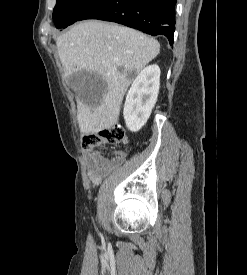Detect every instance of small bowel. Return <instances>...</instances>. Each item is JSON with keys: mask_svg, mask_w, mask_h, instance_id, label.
Masks as SVG:
<instances>
[{"mask_svg": "<svg viewBox=\"0 0 247 275\" xmlns=\"http://www.w3.org/2000/svg\"><path fill=\"white\" fill-rule=\"evenodd\" d=\"M84 159L90 182L93 186H97L113 170L124 163L126 154L123 151H117L108 158L99 151H91L85 154Z\"/></svg>", "mask_w": 247, "mask_h": 275, "instance_id": "obj_1", "label": "small bowel"}]
</instances>
